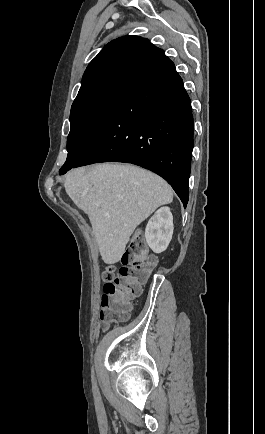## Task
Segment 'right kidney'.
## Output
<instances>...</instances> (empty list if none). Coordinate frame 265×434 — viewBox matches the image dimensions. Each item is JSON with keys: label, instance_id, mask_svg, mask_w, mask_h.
Segmentation results:
<instances>
[{"label": "right kidney", "instance_id": "1", "mask_svg": "<svg viewBox=\"0 0 265 434\" xmlns=\"http://www.w3.org/2000/svg\"><path fill=\"white\" fill-rule=\"evenodd\" d=\"M173 230L170 208H159L150 218L145 230L146 242L154 254L165 252L172 240Z\"/></svg>", "mask_w": 265, "mask_h": 434}]
</instances>
